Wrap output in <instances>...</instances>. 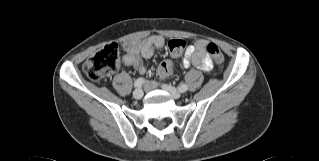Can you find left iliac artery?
Here are the masks:
<instances>
[{"label":"left iliac artery","mask_w":319,"mask_h":161,"mask_svg":"<svg viewBox=\"0 0 319 161\" xmlns=\"http://www.w3.org/2000/svg\"><path fill=\"white\" fill-rule=\"evenodd\" d=\"M187 89H188V86H187L186 84H184V83L181 84V85H179V87H178V90H179L180 92H182V93L186 92Z\"/></svg>","instance_id":"44dca946"}]
</instances>
